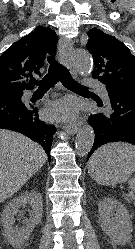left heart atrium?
<instances>
[{
  "label": "left heart atrium",
  "mask_w": 135,
  "mask_h": 249,
  "mask_svg": "<svg viewBox=\"0 0 135 249\" xmlns=\"http://www.w3.org/2000/svg\"><path fill=\"white\" fill-rule=\"evenodd\" d=\"M78 112V103L72 98L51 102L46 107L47 116L53 120H72L77 117Z\"/></svg>",
  "instance_id": "1"
}]
</instances>
